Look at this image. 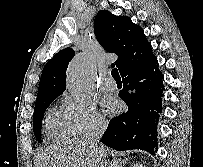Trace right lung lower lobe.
Returning a JSON list of instances; mask_svg holds the SVG:
<instances>
[{"label": "right lung lower lobe", "instance_id": "right-lung-lower-lobe-1", "mask_svg": "<svg viewBox=\"0 0 203 167\" xmlns=\"http://www.w3.org/2000/svg\"><path fill=\"white\" fill-rule=\"evenodd\" d=\"M154 56L144 65L122 75L120 98L128 111L114 117L102 142L115 150L142 149L154 154L157 149V123L162 108L163 76Z\"/></svg>", "mask_w": 203, "mask_h": 167}]
</instances>
